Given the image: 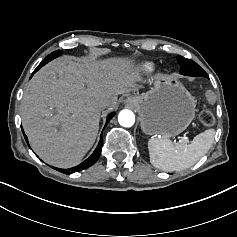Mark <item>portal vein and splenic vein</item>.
Instances as JSON below:
<instances>
[{
    "mask_svg": "<svg viewBox=\"0 0 237 237\" xmlns=\"http://www.w3.org/2000/svg\"><path fill=\"white\" fill-rule=\"evenodd\" d=\"M181 141L187 144L189 142V139H188V137L185 136V137H182Z\"/></svg>",
    "mask_w": 237,
    "mask_h": 237,
    "instance_id": "1",
    "label": "portal vein and splenic vein"
}]
</instances>
